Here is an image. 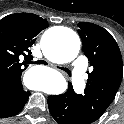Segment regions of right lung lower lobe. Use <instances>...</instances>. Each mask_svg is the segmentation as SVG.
Listing matches in <instances>:
<instances>
[{"instance_id": "right-lung-lower-lobe-1", "label": "right lung lower lobe", "mask_w": 124, "mask_h": 124, "mask_svg": "<svg viewBox=\"0 0 124 124\" xmlns=\"http://www.w3.org/2000/svg\"><path fill=\"white\" fill-rule=\"evenodd\" d=\"M30 96L21 83L0 88V118L19 113Z\"/></svg>"}]
</instances>
